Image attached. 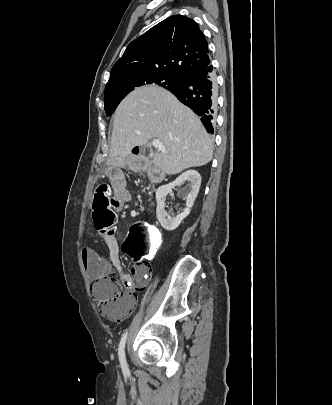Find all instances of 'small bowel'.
<instances>
[{"label":"small bowel","instance_id":"obj_1","mask_svg":"<svg viewBox=\"0 0 332 405\" xmlns=\"http://www.w3.org/2000/svg\"><path fill=\"white\" fill-rule=\"evenodd\" d=\"M106 176L111 178V185L114 189L112 197L110 198L111 210L115 211L116 215H127L128 208L125 206L130 200V194L127 190L126 183L123 177L127 176L126 168H107ZM110 250V260L101 256L97 251L92 248H83L81 252V257L85 269L92 280H97L104 277L110 270V265L113 264L117 270L121 272V265L119 260V249L117 240L113 236H103ZM136 271L132 274H126L121 272V280L128 285H131ZM137 287V286H135ZM135 306V301L131 297L127 305L126 310L123 314L110 317V318H120L133 310Z\"/></svg>","mask_w":332,"mask_h":405}]
</instances>
